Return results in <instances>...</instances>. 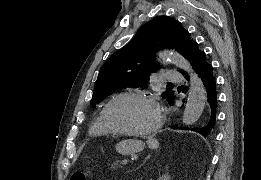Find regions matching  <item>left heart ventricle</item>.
Returning a JSON list of instances; mask_svg holds the SVG:
<instances>
[{
    "label": "left heart ventricle",
    "mask_w": 261,
    "mask_h": 180,
    "mask_svg": "<svg viewBox=\"0 0 261 180\" xmlns=\"http://www.w3.org/2000/svg\"><path fill=\"white\" fill-rule=\"evenodd\" d=\"M107 119L112 127L126 134H142L150 130L155 106L147 99L129 96L117 100L107 110Z\"/></svg>",
    "instance_id": "1"
}]
</instances>
